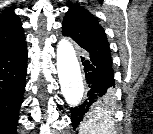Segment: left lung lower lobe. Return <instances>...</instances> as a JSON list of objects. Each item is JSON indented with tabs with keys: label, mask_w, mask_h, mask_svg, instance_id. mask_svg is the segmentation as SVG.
Here are the masks:
<instances>
[{
	"label": "left lung lower lobe",
	"mask_w": 153,
	"mask_h": 134,
	"mask_svg": "<svg viewBox=\"0 0 153 134\" xmlns=\"http://www.w3.org/2000/svg\"><path fill=\"white\" fill-rule=\"evenodd\" d=\"M81 61L89 90L88 98L84 103L71 110V120L74 128L82 121L91 105L99 98L109 95L115 85L114 72L110 63L91 55L81 57Z\"/></svg>",
	"instance_id": "left-lung-lower-lobe-1"
}]
</instances>
